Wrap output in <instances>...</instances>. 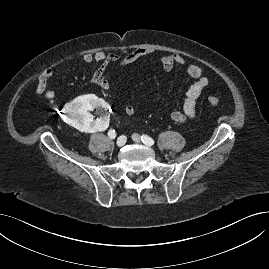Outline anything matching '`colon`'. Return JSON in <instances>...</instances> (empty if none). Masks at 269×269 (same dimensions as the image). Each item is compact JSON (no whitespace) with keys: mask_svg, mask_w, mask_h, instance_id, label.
<instances>
[{"mask_svg":"<svg viewBox=\"0 0 269 269\" xmlns=\"http://www.w3.org/2000/svg\"><path fill=\"white\" fill-rule=\"evenodd\" d=\"M223 97L224 90L218 89L207 96V101L210 105H217L223 100Z\"/></svg>","mask_w":269,"mask_h":269,"instance_id":"1","label":"colon"}]
</instances>
